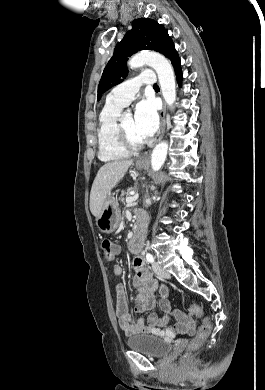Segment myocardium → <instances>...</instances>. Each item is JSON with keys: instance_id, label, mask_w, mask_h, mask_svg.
I'll return each mask as SVG.
<instances>
[{"instance_id": "f54148a6", "label": "myocardium", "mask_w": 265, "mask_h": 390, "mask_svg": "<svg viewBox=\"0 0 265 390\" xmlns=\"http://www.w3.org/2000/svg\"><path fill=\"white\" fill-rule=\"evenodd\" d=\"M117 136H118V140L121 144V146L126 149L128 152H136V151H139L141 150L146 142L145 141H141V142H134L130 137L129 135L127 134L125 128H124V125H123V121H122V118H119L118 119V123H117Z\"/></svg>"}]
</instances>
